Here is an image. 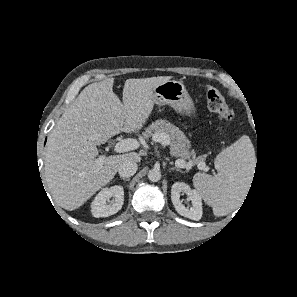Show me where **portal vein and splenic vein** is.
Returning <instances> with one entry per match:
<instances>
[{"label": "portal vein and splenic vein", "mask_w": 297, "mask_h": 297, "mask_svg": "<svg viewBox=\"0 0 297 297\" xmlns=\"http://www.w3.org/2000/svg\"><path fill=\"white\" fill-rule=\"evenodd\" d=\"M153 140L155 142H159L161 143L162 145L164 146H168L170 144V141L168 139V136L165 135V134H155L154 137H153ZM139 147V142L136 140V139H132V138H128V139H124V140H121L120 142H118L116 145H115V151L117 153H123V152H128V151H131V150H135ZM103 157H100L98 159H96V163L97 164H101L103 162ZM176 164L180 165L181 167L185 168L186 170H190L193 166V164L191 162H185L184 160L182 159H177L175 161ZM198 168L200 170H203V169H206V166L204 163H199L198 164Z\"/></svg>", "instance_id": "18ae733b"}]
</instances>
